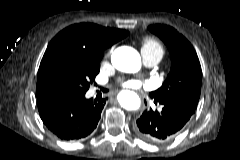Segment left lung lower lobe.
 I'll return each mask as SVG.
<instances>
[{
	"instance_id": "1",
	"label": "left lung lower lobe",
	"mask_w": 240,
	"mask_h": 160,
	"mask_svg": "<svg viewBox=\"0 0 240 160\" xmlns=\"http://www.w3.org/2000/svg\"><path fill=\"white\" fill-rule=\"evenodd\" d=\"M159 103L163 105L161 112L150 109L136 121L137 134L151 143H163L173 138L195 112V109L178 102Z\"/></svg>"
}]
</instances>
